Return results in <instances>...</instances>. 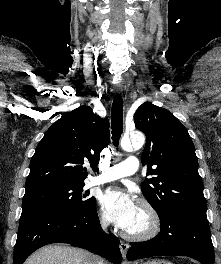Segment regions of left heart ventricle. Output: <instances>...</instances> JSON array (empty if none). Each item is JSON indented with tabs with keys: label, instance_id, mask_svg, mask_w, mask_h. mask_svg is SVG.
I'll list each match as a JSON object with an SVG mask.
<instances>
[{
	"label": "left heart ventricle",
	"instance_id": "b2bd125f",
	"mask_svg": "<svg viewBox=\"0 0 221 264\" xmlns=\"http://www.w3.org/2000/svg\"><path fill=\"white\" fill-rule=\"evenodd\" d=\"M146 224H147L146 215L140 208H138L136 217L127 230L131 232L140 231L146 227Z\"/></svg>",
	"mask_w": 221,
	"mask_h": 264
}]
</instances>
